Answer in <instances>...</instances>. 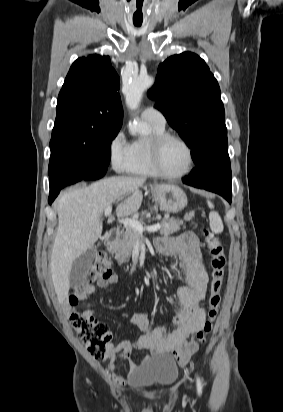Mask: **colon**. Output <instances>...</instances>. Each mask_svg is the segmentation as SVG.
Returning <instances> with one entry per match:
<instances>
[{"mask_svg": "<svg viewBox=\"0 0 283 412\" xmlns=\"http://www.w3.org/2000/svg\"><path fill=\"white\" fill-rule=\"evenodd\" d=\"M204 244L210 256V281H209V296L207 319L203 327L195 332L192 337L180 348L177 355H183L188 351L196 349L199 344L205 342L207 336L211 333L213 324L216 320L220 301L221 288L227 263L226 253L221 240L210 230H203ZM112 275L110 262L106 254L99 251L91 266V270L87 276L86 283L83 289L77 295L69 298L70 322L72 327L80 338L88 352L97 359L105 357L108 349V344L112 339V333L108 326L98 321L87 310L77 309L80 300L84 298L85 289L95 281H100L109 278Z\"/></svg>", "mask_w": 283, "mask_h": 412, "instance_id": "5ec220e1", "label": "colon"}]
</instances>
